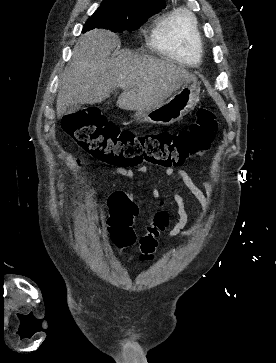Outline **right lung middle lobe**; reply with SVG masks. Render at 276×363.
<instances>
[{
  "label": "right lung middle lobe",
  "mask_w": 276,
  "mask_h": 363,
  "mask_svg": "<svg viewBox=\"0 0 276 363\" xmlns=\"http://www.w3.org/2000/svg\"><path fill=\"white\" fill-rule=\"evenodd\" d=\"M163 7L136 5H115L102 3L94 14L86 21L83 32L94 28L109 29L113 32L138 29L151 15Z\"/></svg>",
  "instance_id": "1"
}]
</instances>
